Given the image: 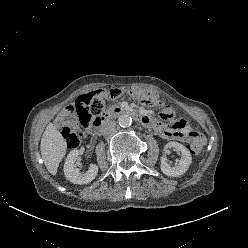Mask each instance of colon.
Masks as SVG:
<instances>
[{
    "label": "colon",
    "instance_id": "5ec220e1",
    "mask_svg": "<svg viewBox=\"0 0 248 248\" xmlns=\"http://www.w3.org/2000/svg\"><path fill=\"white\" fill-rule=\"evenodd\" d=\"M125 93L124 89L115 88L105 93H87L81 95L73 106L64 108L56 118V124L61 128L68 147L73 149L80 145L85 131L91 123L104 112V98L114 99ZM145 105L159 111V115L165 122H172L175 118V110L171 105L165 104L156 94L149 91H131ZM204 140L195 138L189 144V151L193 155L201 154Z\"/></svg>",
    "mask_w": 248,
    "mask_h": 248
}]
</instances>
